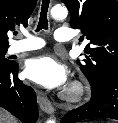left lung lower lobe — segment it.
I'll return each instance as SVG.
<instances>
[{"instance_id":"1","label":"left lung lower lobe","mask_w":118,"mask_h":123,"mask_svg":"<svg viewBox=\"0 0 118 123\" xmlns=\"http://www.w3.org/2000/svg\"><path fill=\"white\" fill-rule=\"evenodd\" d=\"M91 86V100L66 113L61 123H75L97 117L118 120V71L108 73L98 84Z\"/></svg>"}]
</instances>
